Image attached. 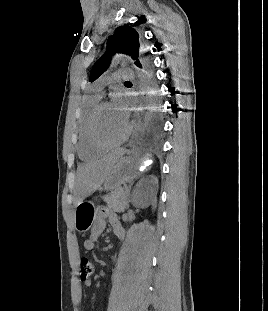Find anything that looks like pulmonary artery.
Instances as JSON below:
<instances>
[{"instance_id":"pulmonary-artery-1","label":"pulmonary artery","mask_w":268,"mask_h":311,"mask_svg":"<svg viewBox=\"0 0 268 311\" xmlns=\"http://www.w3.org/2000/svg\"><path fill=\"white\" fill-rule=\"evenodd\" d=\"M133 76V72L129 69H119L109 76H107L105 79H101L97 81L93 87H92V92L94 93L95 96L101 97V91L104 85L105 80L106 81H113V82H120L125 79H129Z\"/></svg>"}]
</instances>
